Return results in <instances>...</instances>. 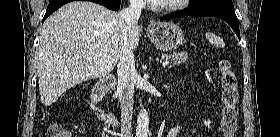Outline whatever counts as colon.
Instances as JSON below:
<instances>
[{"mask_svg":"<svg viewBox=\"0 0 280 137\" xmlns=\"http://www.w3.org/2000/svg\"><path fill=\"white\" fill-rule=\"evenodd\" d=\"M219 75L221 81V132L223 137H234L237 130V101H238V81L230 62L221 59L219 62ZM50 137H71L70 131L58 123H52L48 127Z\"/></svg>","mask_w":280,"mask_h":137,"instance_id":"1","label":"colon"}]
</instances>
